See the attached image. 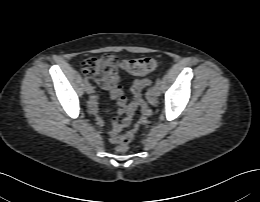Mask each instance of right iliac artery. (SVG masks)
Segmentation results:
<instances>
[{
  "label": "right iliac artery",
  "instance_id": "1",
  "mask_svg": "<svg viewBox=\"0 0 260 202\" xmlns=\"http://www.w3.org/2000/svg\"><path fill=\"white\" fill-rule=\"evenodd\" d=\"M84 83L87 85L88 84V80L85 78L84 79Z\"/></svg>",
  "mask_w": 260,
  "mask_h": 202
}]
</instances>
